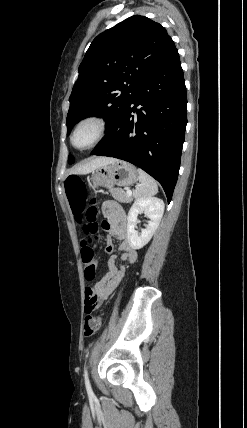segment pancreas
I'll list each match as a JSON object with an SVG mask.
<instances>
[{"label":"pancreas","instance_id":"obj_1","mask_svg":"<svg viewBox=\"0 0 247 428\" xmlns=\"http://www.w3.org/2000/svg\"><path fill=\"white\" fill-rule=\"evenodd\" d=\"M110 193L112 197L122 203H130L133 201L132 196H128L126 192L121 188H111Z\"/></svg>","mask_w":247,"mask_h":428}]
</instances>
